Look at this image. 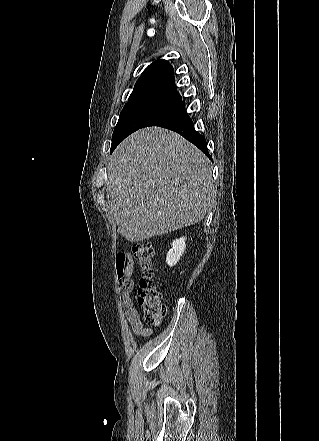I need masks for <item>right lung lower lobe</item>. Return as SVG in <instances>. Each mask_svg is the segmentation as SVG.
Instances as JSON below:
<instances>
[{"label":"right lung lower lobe","mask_w":319,"mask_h":441,"mask_svg":"<svg viewBox=\"0 0 319 441\" xmlns=\"http://www.w3.org/2000/svg\"><path fill=\"white\" fill-rule=\"evenodd\" d=\"M147 126H160L179 133L210 158L206 140L204 136L195 131L192 120L184 110V101H180L154 118Z\"/></svg>","instance_id":"right-lung-lower-lobe-1"}]
</instances>
